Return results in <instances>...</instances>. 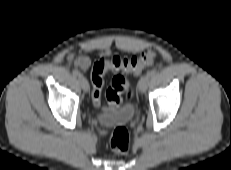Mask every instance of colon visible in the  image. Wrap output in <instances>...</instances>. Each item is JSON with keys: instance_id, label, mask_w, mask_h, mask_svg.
I'll return each mask as SVG.
<instances>
[{"instance_id": "5ec220e1", "label": "colon", "mask_w": 231, "mask_h": 170, "mask_svg": "<svg viewBox=\"0 0 231 170\" xmlns=\"http://www.w3.org/2000/svg\"><path fill=\"white\" fill-rule=\"evenodd\" d=\"M157 57L154 50H148L138 57L121 58L114 56L111 59L96 60L91 70L92 102L96 107L101 105L104 76L108 71L115 73L111 85L106 92V99L111 107H116L122 100V95L132 96L129 90L127 74H139L144 68L151 65ZM110 147L116 153H125L129 149V133L124 127H117L111 134Z\"/></svg>"}]
</instances>
